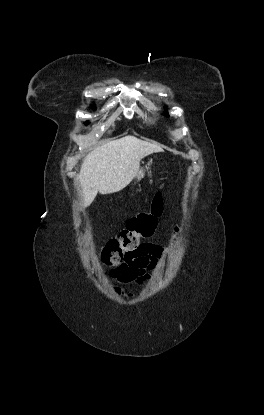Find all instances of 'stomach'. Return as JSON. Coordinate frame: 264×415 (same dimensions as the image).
Here are the masks:
<instances>
[{"instance_id":"1","label":"stomach","mask_w":264,"mask_h":415,"mask_svg":"<svg viewBox=\"0 0 264 415\" xmlns=\"http://www.w3.org/2000/svg\"><path fill=\"white\" fill-rule=\"evenodd\" d=\"M149 167H147V166H145V169L144 168H141V169H139V171H138V173H137V175H136V179L139 181V180H141L143 177H144V175H145V170L146 169H148Z\"/></svg>"}]
</instances>
